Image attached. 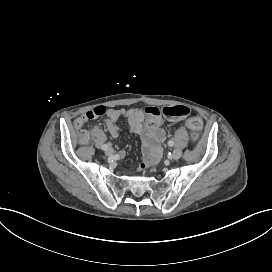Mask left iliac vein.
Masks as SVG:
<instances>
[{
  "instance_id": "1",
  "label": "left iliac vein",
  "mask_w": 272,
  "mask_h": 272,
  "mask_svg": "<svg viewBox=\"0 0 272 272\" xmlns=\"http://www.w3.org/2000/svg\"><path fill=\"white\" fill-rule=\"evenodd\" d=\"M182 156V151L180 149H174L172 153V159L178 160Z\"/></svg>"
}]
</instances>
